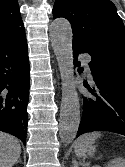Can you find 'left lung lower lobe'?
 I'll use <instances>...</instances> for the list:
<instances>
[{
    "instance_id": "left-lung-lower-lobe-1",
    "label": "left lung lower lobe",
    "mask_w": 125,
    "mask_h": 167,
    "mask_svg": "<svg viewBox=\"0 0 125 167\" xmlns=\"http://www.w3.org/2000/svg\"><path fill=\"white\" fill-rule=\"evenodd\" d=\"M78 53H89L95 87L85 86L91 97L83 102L82 120L77 136L92 131H110L125 136V59L114 52H88L73 44L75 67Z\"/></svg>"
}]
</instances>
